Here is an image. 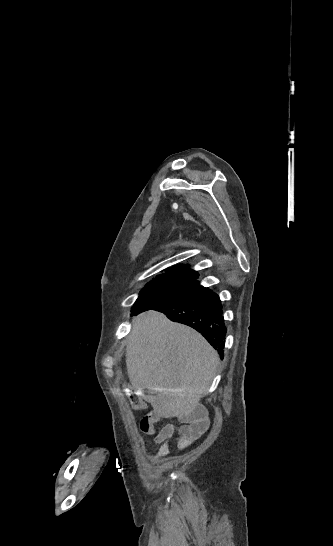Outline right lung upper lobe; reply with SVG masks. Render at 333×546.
Instances as JSON below:
<instances>
[{"label": "right lung upper lobe", "mask_w": 333, "mask_h": 546, "mask_svg": "<svg viewBox=\"0 0 333 546\" xmlns=\"http://www.w3.org/2000/svg\"><path fill=\"white\" fill-rule=\"evenodd\" d=\"M161 275L185 280H196L198 278V273L191 270L188 265H177L172 268H168L166 273Z\"/></svg>", "instance_id": "1"}]
</instances>
